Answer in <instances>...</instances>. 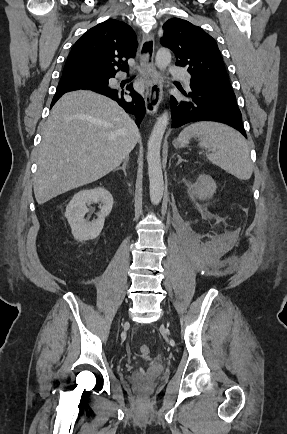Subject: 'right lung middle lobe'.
<instances>
[{"label":"right lung middle lobe","mask_w":287,"mask_h":434,"mask_svg":"<svg viewBox=\"0 0 287 434\" xmlns=\"http://www.w3.org/2000/svg\"><path fill=\"white\" fill-rule=\"evenodd\" d=\"M110 77L90 73L63 74L61 79L70 81H83L91 84L107 85Z\"/></svg>","instance_id":"right-lung-middle-lobe-1"}]
</instances>
